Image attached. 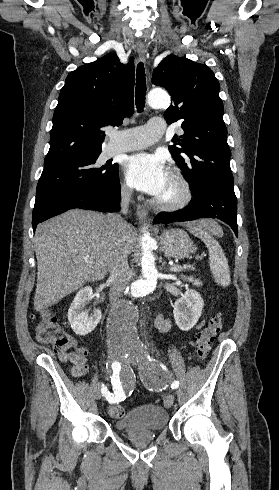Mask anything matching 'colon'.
I'll return each mask as SVG.
<instances>
[{
    "instance_id": "5ec220e1",
    "label": "colon",
    "mask_w": 279,
    "mask_h": 490,
    "mask_svg": "<svg viewBox=\"0 0 279 490\" xmlns=\"http://www.w3.org/2000/svg\"><path fill=\"white\" fill-rule=\"evenodd\" d=\"M222 327L220 316L212 317L196 340V354L199 359H205L210 351V344L216 338ZM38 340L52 348L54 352L64 354L70 352V347H74V338L65 333L58 324L53 313L42 311L39 315L36 326ZM108 414L113 418H120L124 414V408L119 404H111L108 407Z\"/></svg>"
}]
</instances>
